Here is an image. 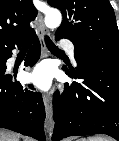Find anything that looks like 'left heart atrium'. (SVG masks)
<instances>
[{"label":"left heart atrium","instance_id":"left-heart-atrium-1","mask_svg":"<svg viewBox=\"0 0 119 141\" xmlns=\"http://www.w3.org/2000/svg\"><path fill=\"white\" fill-rule=\"evenodd\" d=\"M53 77L52 67L48 63H41L27 75V80L37 88L46 90L49 88Z\"/></svg>","mask_w":119,"mask_h":141}]
</instances>
